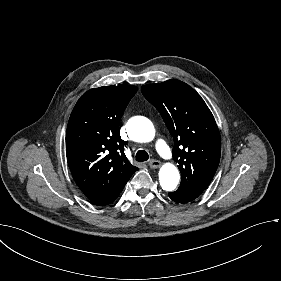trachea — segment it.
I'll return each instance as SVG.
<instances>
[{"instance_id": "3493384b", "label": "trachea", "mask_w": 281, "mask_h": 281, "mask_svg": "<svg viewBox=\"0 0 281 281\" xmlns=\"http://www.w3.org/2000/svg\"><path fill=\"white\" fill-rule=\"evenodd\" d=\"M149 159L148 153L144 150H139L136 153L135 160L137 162H145Z\"/></svg>"}]
</instances>
